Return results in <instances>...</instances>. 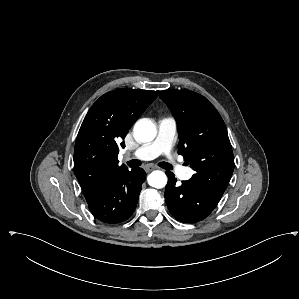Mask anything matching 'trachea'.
Masks as SVG:
<instances>
[{"label":"trachea","instance_id":"obj_1","mask_svg":"<svg viewBox=\"0 0 299 299\" xmlns=\"http://www.w3.org/2000/svg\"><path fill=\"white\" fill-rule=\"evenodd\" d=\"M127 164H128L129 167H138V166L141 165V162L139 160H131ZM158 165L160 167L164 168V169H167V170L172 169V166L169 163H166V162H160Z\"/></svg>","mask_w":299,"mask_h":299}]
</instances>
